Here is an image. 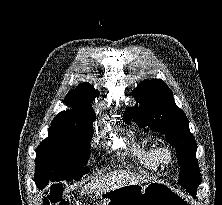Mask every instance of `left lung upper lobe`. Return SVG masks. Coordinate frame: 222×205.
<instances>
[{
  "label": "left lung upper lobe",
  "instance_id": "obj_1",
  "mask_svg": "<svg viewBox=\"0 0 222 205\" xmlns=\"http://www.w3.org/2000/svg\"><path fill=\"white\" fill-rule=\"evenodd\" d=\"M133 96L139 106L128 107L123 114V121L130 123L134 118L140 127L164 134L177 152L181 169L179 183L186 190H197L200 173L196 142L185 113L175 104L172 91L161 79H152L140 82Z\"/></svg>",
  "mask_w": 222,
  "mask_h": 205
}]
</instances>
